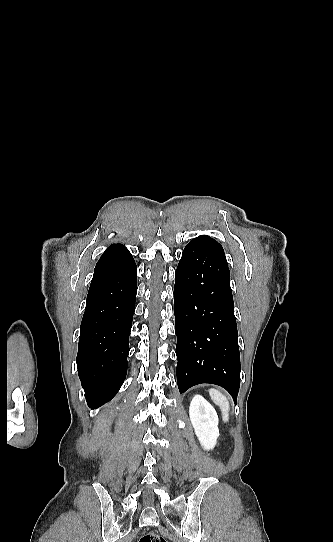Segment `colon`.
Here are the masks:
<instances>
[{"label":"colon","instance_id":"5ec220e1","mask_svg":"<svg viewBox=\"0 0 333 542\" xmlns=\"http://www.w3.org/2000/svg\"><path fill=\"white\" fill-rule=\"evenodd\" d=\"M138 542H166V540L157 533L145 532L139 537Z\"/></svg>","mask_w":333,"mask_h":542}]
</instances>
